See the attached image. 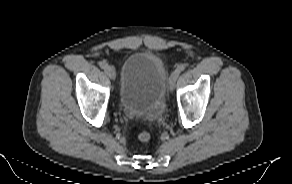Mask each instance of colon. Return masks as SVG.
<instances>
[{
  "label": "colon",
  "instance_id": "obj_1",
  "mask_svg": "<svg viewBox=\"0 0 292 184\" xmlns=\"http://www.w3.org/2000/svg\"><path fill=\"white\" fill-rule=\"evenodd\" d=\"M138 139L142 143H148L151 140V135L148 131H141L138 134Z\"/></svg>",
  "mask_w": 292,
  "mask_h": 184
}]
</instances>
